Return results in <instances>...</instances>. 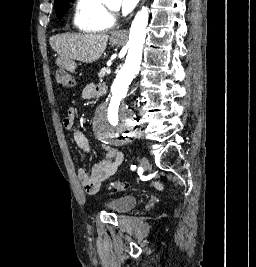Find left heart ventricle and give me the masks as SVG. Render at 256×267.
Instances as JSON below:
<instances>
[{"label":"left heart ventricle","instance_id":"obj_1","mask_svg":"<svg viewBox=\"0 0 256 267\" xmlns=\"http://www.w3.org/2000/svg\"><path fill=\"white\" fill-rule=\"evenodd\" d=\"M112 4H113V3H112ZM112 26H113V22L108 21V22L104 23V24L101 26V29H102V30H105V31H108V30H110V29L112 28Z\"/></svg>","mask_w":256,"mask_h":267}]
</instances>
